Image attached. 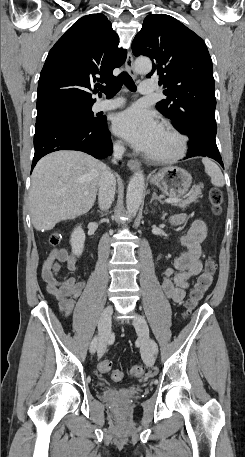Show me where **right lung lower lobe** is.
Returning a JSON list of instances; mask_svg holds the SVG:
<instances>
[{
  "label": "right lung lower lobe",
  "mask_w": 245,
  "mask_h": 457,
  "mask_svg": "<svg viewBox=\"0 0 245 457\" xmlns=\"http://www.w3.org/2000/svg\"><path fill=\"white\" fill-rule=\"evenodd\" d=\"M34 147L32 169L40 158L58 150H79L98 159L112 153L111 136L104 116L84 119L58 115L36 121Z\"/></svg>",
  "instance_id": "1"
}]
</instances>
